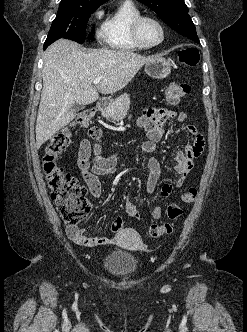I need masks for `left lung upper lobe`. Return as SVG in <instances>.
<instances>
[{
	"label": "left lung upper lobe",
	"mask_w": 247,
	"mask_h": 332,
	"mask_svg": "<svg viewBox=\"0 0 247 332\" xmlns=\"http://www.w3.org/2000/svg\"><path fill=\"white\" fill-rule=\"evenodd\" d=\"M154 10L173 30L200 43L184 0H138Z\"/></svg>",
	"instance_id": "left-lung-upper-lobe-1"
}]
</instances>
